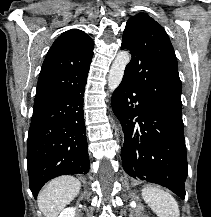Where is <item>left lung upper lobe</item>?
I'll list each match as a JSON object with an SVG mask.
<instances>
[{
  "mask_svg": "<svg viewBox=\"0 0 211 217\" xmlns=\"http://www.w3.org/2000/svg\"><path fill=\"white\" fill-rule=\"evenodd\" d=\"M121 49L132 54L123 78L159 109L182 119L178 63L164 28L147 14L134 15L126 23Z\"/></svg>",
  "mask_w": 211,
  "mask_h": 217,
  "instance_id": "5c2ea615",
  "label": "left lung upper lobe"
}]
</instances>
